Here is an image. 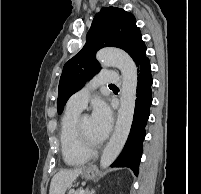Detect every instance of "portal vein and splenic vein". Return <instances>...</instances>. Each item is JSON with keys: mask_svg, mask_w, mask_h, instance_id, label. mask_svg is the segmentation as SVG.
<instances>
[{"mask_svg": "<svg viewBox=\"0 0 201 194\" xmlns=\"http://www.w3.org/2000/svg\"><path fill=\"white\" fill-rule=\"evenodd\" d=\"M80 194H85V191L82 189V190L80 191Z\"/></svg>", "mask_w": 201, "mask_h": 194, "instance_id": "1", "label": "portal vein and splenic vein"}]
</instances>
